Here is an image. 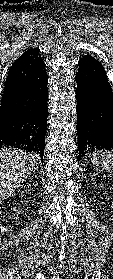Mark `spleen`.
Returning a JSON list of instances; mask_svg holds the SVG:
<instances>
[{
  "label": "spleen",
  "instance_id": "obj_1",
  "mask_svg": "<svg viewBox=\"0 0 113 279\" xmlns=\"http://www.w3.org/2000/svg\"><path fill=\"white\" fill-rule=\"evenodd\" d=\"M92 164L101 167L103 170L112 174L113 170V154L109 151L93 150L89 154Z\"/></svg>",
  "mask_w": 113,
  "mask_h": 279
}]
</instances>
